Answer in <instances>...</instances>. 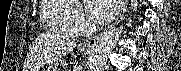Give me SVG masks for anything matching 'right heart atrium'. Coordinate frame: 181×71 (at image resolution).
Instances as JSON below:
<instances>
[{
	"label": "right heart atrium",
	"instance_id": "1",
	"mask_svg": "<svg viewBox=\"0 0 181 71\" xmlns=\"http://www.w3.org/2000/svg\"><path fill=\"white\" fill-rule=\"evenodd\" d=\"M71 23L75 29L80 31L79 33H81L80 28L86 26L87 22L80 8L76 7L75 13L71 18Z\"/></svg>",
	"mask_w": 181,
	"mask_h": 71
}]
</instances>
